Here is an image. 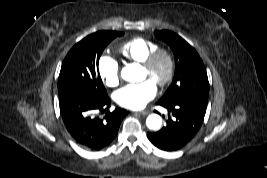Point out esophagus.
<instances>
[{"instance_id": "obj_1", "label": "esophagus", "mask_w": 267, "mask_h": 178, "mask_svg": "<svg viewBox=\"0 0 267 178\" xmlns=\"http://www.w3.org/2000/svg\"><path fill=\"white\" fill-rule=\"evenodd\" d=\"M137 113L140 114V115L145 116V115H148L149 114V111L148 110H143V111H139Z\"/></svg>"}]
</instances>
